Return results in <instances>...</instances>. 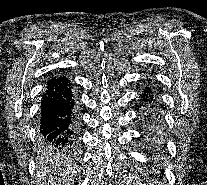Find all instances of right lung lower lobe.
<instances>
[{"mask_svg":"<svg viewBox=\"0 0 207 185\" xmlns=\"http://www.w3.org/2000/svg\"><path fill=\"white\" fill-rule=\"evenodd\" d=\"M78 111L69 80L52 77L40 105V142L49 148L71 149L76 143Z\"/></svg>","mask_w":207,"mask_h":185,"instance_id":"right-lung-lower-lobe-1","label":"right lung lower lobe"}]
</instances>
